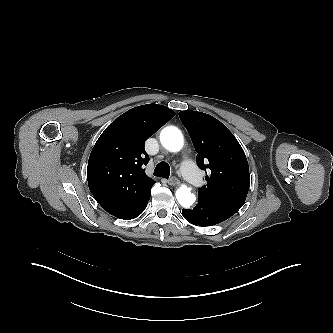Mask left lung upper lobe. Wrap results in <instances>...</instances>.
Instances as JSON below:
<instances>
[{
    "mask_svg": "<svg viewBox=\"0 0 333 333\" xmlns=\"http://www.w3.org/2000/svg\"><path fill=\"white\" fill-rule=\"evenodd\" d=\"M179 117L197 152V165L208 170L207 185L199 189L198 198L234 215L243 206L250 186L242 147L225 125L208 114L181 111Z\"/></svg>",
    "mask_w": 333,
    "mask_h": 333,
    "instance_id": "obj_1",
    "label": "left lung upper lobe"
}]
</instances>
